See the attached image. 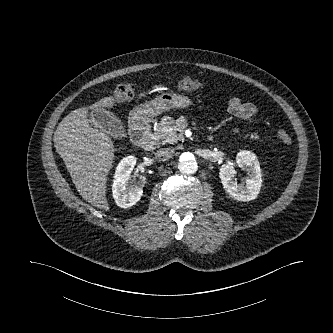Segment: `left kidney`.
Returning <instances> with one entry per match:
<instances>
[{
  "label": "left kidney",
  "mask_w": 333,
  "mask_h": 333,
  "mask_svg": "<svg viewBox=\"0 0 333 333\" xmlns=\"http://www.w3.org/2000/svg\"><path fill=\"white\" fill-rule=\"evenodd\" d=\"M236 163L238 167L247 171L248 177L245 182L239 184L235 179L234 166L230 163L223 164L219 172L223 188L235 200L243 202L254 200L262 185L259 161L254 153L244 150L237 154Z\"/></svg>",
  "instance_id": "1"
}]
</instances>
